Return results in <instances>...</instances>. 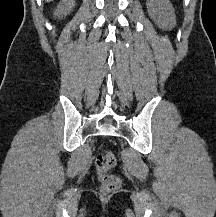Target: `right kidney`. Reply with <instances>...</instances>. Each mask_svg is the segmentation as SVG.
<instances>
[{
	"label": "right kidney",
	"instance_id": "obj_1",
	"mask_svg": "<svg viewBox=\"0 0 216 217\" xmlns=\"http://www.w3.org/2000/svg\"><path fill=\"white\" fill-rule=\"evenodd\" d=\"M74 0H61L57 9L54 11V15L63 17L69 14L74 6Z\"/></svg>",
	"mask_w": 216,
	"mask_h": 217
}]
</instances>
